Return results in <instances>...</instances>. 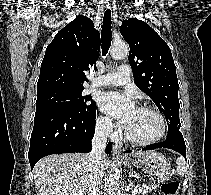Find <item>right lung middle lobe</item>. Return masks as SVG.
<instances>
[{"mask_svg":"<svg viewBox=\"0 0 211 195\" xmlns=\"http://www.w3.org/2000/svg\"><path fill=\"white\" fill-rule=\"evenodd\" d=\"M83 89L55 88L37 93L36 112L45 109L85 113L96 103L91 96H83Z\"/></svg>","mask_w":211,"mask_h":195,"instance_id":"dd1d6c3e","label":"right lung middle lobe"}]
</instances>
